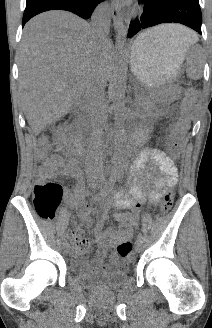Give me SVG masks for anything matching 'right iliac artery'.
<instances>
[{
    "label": "right iliac artery",
    "mask_w": 212,
    "mask_h": 328,
    "mask_svg": "<svg viewBox=\"0 0 212 328\" xmlns=\"http://www.w3.org/2000/svg\"><path fill=\"white\" fill-rule=\"evenodd\" d=\"M101 195H103V194H101ZM97 198H98L97 196L94 197V198H92V201H95ZM66 240H67V236L65 235V236L63 237V242H66Z\"/></svg>",
    "instance_id": "right-iliac-artery-1"
}]
</instances>
